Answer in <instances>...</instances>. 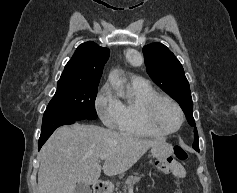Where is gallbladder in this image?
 I'll return each instance as SVG.
<instances>
[{"mask_svg":"<svg viewBox=\"0 0 237 193\" xmlns=\"http://www.w3.org/2000/svg\"><path fill=\"white\" fill-rule=\"evenodd\" d=\"M73 193H92V190L83 183H77Z\"/></svg>","mask_w":237,"mask_h":193,"instance_id":"bac80fb5","label":"gallbladder"}]
</instances>
